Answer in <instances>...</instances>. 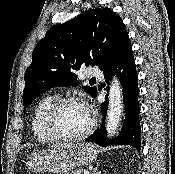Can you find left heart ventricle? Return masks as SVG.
<instances>
[{
	"instance_id": "left-heart-ventricle-1",
	"label": "left heart ventricle",
	"mask_w": 175,
	"mask_h": 174,
	"mask_svg": "<svg viewBox=\"0 0 175 174\" xmlns=\"http://www.w3.org/2000/svg\"><path fill=\"white\" fill-rule=\"evenodd\" d=\"M88 110L80 104H68L63 107L57 116L58 130L65 135H77L89 125Z\"/></svg>"
}]
</instances>
